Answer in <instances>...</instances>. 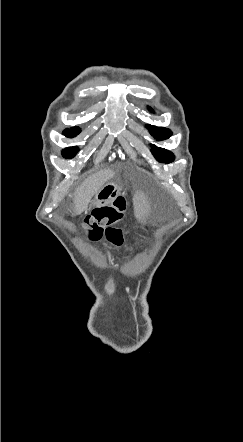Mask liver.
<instances>
[{"label": "liver", "instance_id": "obj_1", "mask_svg": "<svg viewBox=\"0 0 243 442\" xmlns=\"http://www.w3.org/2000/svg\"><path fill=\"white\" fill-rule=\"evenodd\" d=\"M110 169L101 170L88 177L74 193V212L76 215L84 212L94 195L114 176Z\"/></svg>", "mask_w": 243, "mask_h": 442}]
</instances>
